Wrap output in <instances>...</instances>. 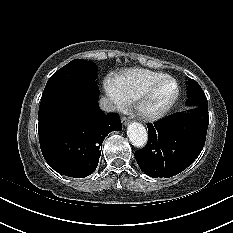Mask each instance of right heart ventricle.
Returning <instances> with one entry per match:
<instances>
[{
  "label": "right heart ventricle",
  "instance_id": "e07e8e85",
  "mask_svg": "<svg viewBox=\"0 0 233 233\" xmlns=\"http://www.w3.org/2000/svg\"><path fill=\"white\" fill-rule=\"evenodd\" d=\"M161 72L130 69L114 79L117 91L128 101L136 100L152 83L165 77Z\"/></svg>",
  "mask_w": 233,
  "mask_h": 233
}]
</instances>
